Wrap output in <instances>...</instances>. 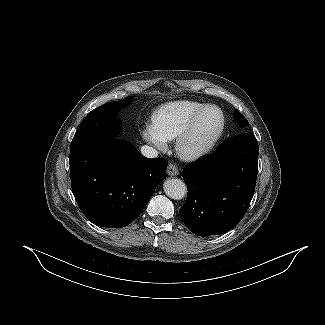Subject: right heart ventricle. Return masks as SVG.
I'll return each mask as SVG.
<instances>
[{
  "instance_id": "1",
  "label": "right heart ventricle",
  "mask_w": 325,
  "mask_h": 325,
  "mask_svg": "<svg viewBox=\"0 0 325 325\" xmlns=\"http://www.w3.org/2000/svg\"><path fill=\"white\" fill-rule=\"evenodd\" d=\"M207 104L180 100L167 103L152 116L151 127L165 140L172 141L183 131L194 114Z\"/></svg>"
}]
</instances>
